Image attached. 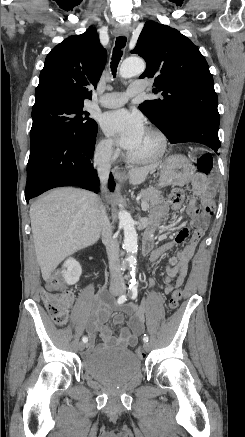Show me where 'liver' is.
<instances>
[{
  "instance_id": "1",
  "label": "liver",
  "mask_w": 245,
  "mask_h": 437,
  "mask_svg": "<svg viewBox=\"0 0 245 437\" xmlns=\"http://www.w3.org/2000/svg\"><path fill=\"white\" fill-rule=\"evenodd\" d=\"M155 165L129 172L130 184L143 183ZM102 203L94 193L59 188L42 196L30 207L31 228L37 262L47 281L67 257L94 244L102 231Z\"/></svg>"
}]
</instances>
